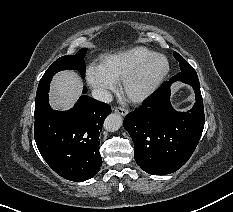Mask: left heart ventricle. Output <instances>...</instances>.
Returning a JSON list of instances; mask_svg holds the SVG:
<instances>
[{
  "instance_id": "left-heart-ventricle-1",
  "label": "left heart ventricle",
  "mask_w": 233,
  "mask_h": 212,
  "mask_svg": "<svg viewBox=\"0 0 233 212\" xmlns=\"http://www.w3.org/2000/svg\"><path fill=\"white\" fill-rule=\"evenodd\" d=\"M164 69L165 61L163 59L157 58L153 60L146 66V68L134 81L131 86V90L133 92H138L145 89L156 80V78L163 72Z\"/></svg>"
}]
</instances>
